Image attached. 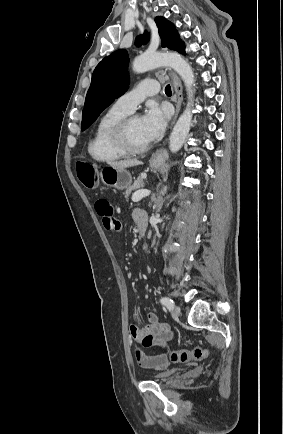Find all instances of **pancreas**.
<instances>
[{
	"instance_id": "pancreas-1",
	"label": "pancreas",
	"mask_w": 283,
	"mask_h": 434,
	"mask_svg": "<svg viewBox=\"0 0 283 434\" xmlns=\"http://www.w3.org/2000/svg\"><path fill=\"white\" fill-rule=\"evenodd\" d=\"M143 185H144L143 179L141 177H139L136 181H134V183L131 186H129L127 188V190L125 191V197L128 199V197L132 191H135V190L142 188Z\"/></svg>"
}]
</instances>
